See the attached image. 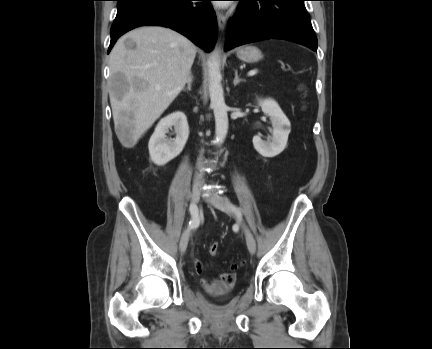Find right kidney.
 <instances>
[{
  "label": "right kidney",
  "mask_w": 432,
  "mask_h": 349,
  "mask_svg": "<svg viewBox=\"0 0 432 349\" xmlns=\"http://www.w3.org/2000/svg\"><path fill=\"white\" fill-rule=\"evenodd\" d=\"M174 127L176 138L169 140L166 133ZM189 136L187 118L183 112L177 111L162 118L152 134L148 148L151 160L156 165H165L183 150Z\"/></svg>",
  "instance_id": "right-kidney-1"
}]
</instances>
